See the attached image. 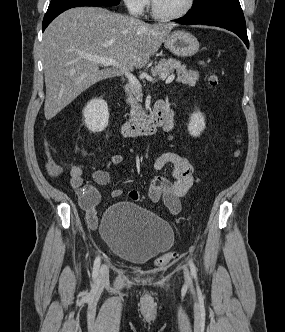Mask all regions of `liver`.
<instances>
[{"instance_id":"6515ba94","label":"liver","mask_w":285,"mask_h":332,"mask_svg":"<svg viewBox=\"0 0 285 332\" xmlns=\"http://www.w3.org/2000/svg\"><path fill=\"white\" fill-rule=\"evenodd\" d=\"M172 28L98 7L60 14L43 36L45 118L52 119L93 84L145 66ZM86 56L110 58L120 67L100 70Z\"/></svg>"}]
</instances>
